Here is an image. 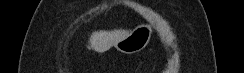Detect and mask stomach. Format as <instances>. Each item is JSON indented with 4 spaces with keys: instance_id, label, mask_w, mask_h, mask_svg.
Wrapping results in <instances>:
<instances>
[{
    "instance_id": "1",
    "label": "stomach",
    "mask_w": 244,
    "mask_h": 73,
    "mask_svg": "<svg viewBox=\"0 0 244 73\" xmlns=\"http://www.w3.org/2000/svg\"><path fill=\"white\" fill-rule=\"evenodd\" d=\"M152 28L149 24H141L126 37L115 43L114 48L124 54H134L143 50L150 41Z\"/></svg>"
}]
</instances>
